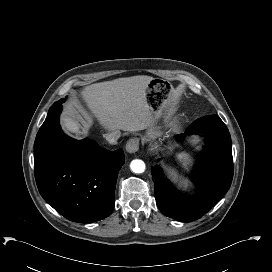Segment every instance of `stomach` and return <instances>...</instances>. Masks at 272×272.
I'll return each instance as SVG.
<instances>
[{"instance_id": "obj_1", "label": "stomach", "mask_w": 272, "mask_h": 272, "mask_svg": "<svg viewBox=\"0 0 272 272\" xmlns=\"http://www.w3.org/2000/svg\"><path fill=\"white\" fill-rule=\"evenodd\" d=\"M173 87L162 79H152L146 87V101L150 107L153 121L166 118L171 111L173 102ZM171 133H162L150 128L146 134L149 140L162 141L169 139Z\"/></svg>"}]
</instances>
